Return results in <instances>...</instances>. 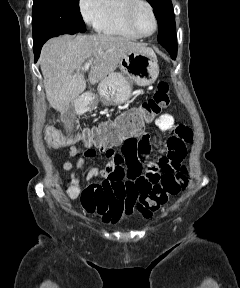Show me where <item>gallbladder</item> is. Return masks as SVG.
<instances>
[{"label": "gallbladder", "mask_w": 240, "mask_h": 288, "mask_svg": "<svg viewBox=\"0 0 240 288\" xmlns=\"http://www.w3.org/2000/svg\"><path fill=\"white\" fill-rule=\"evenodd\" d=\"M73 113H74L73 110L70 108V110L67 113H65L64 116L66 119H70Z\"/></svg>", "instance_id": "1"}]
</instances>
